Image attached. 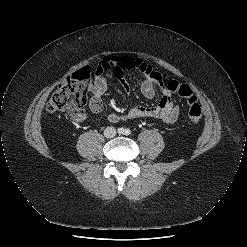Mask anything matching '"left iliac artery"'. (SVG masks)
<instances>
[{
  "mask_svg": "<svg viewBox=\"0 0 247 247\" xmlns=\"http://www.w3.org/2000/svg\"><path fill=\"white\" fill-rule=\"evenodd\" d=\"M125 135H130L131 134V131L129 129H125V132H124Z\"/></svg>",
  "mask_w": 247,
  "mask_h": 247,
  "instance_id": "44dca946",
  "label": "left iliac artery"
}]
</instances>
